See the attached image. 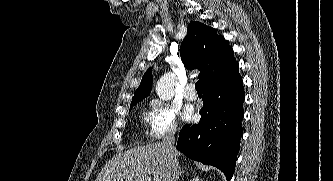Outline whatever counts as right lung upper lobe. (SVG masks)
Instances as JSON below:
<instances>
[{
    "instance_id": "right-lung-upper-lobe-1",
    "label": "right lung upper lobe",
    "mask_w": 333,
    "mask_h": 181,
    "mask_svg": "<svg viewBox=\"0 0 333 181\" xmlns=\"http://www.w3.org/2000/svg\"><path fill=\"white\" fill-rule=\"evenodd\" d=\"M180 56L188 69L200 70L198 78L202 89L238 73V63L232 48L213 28L200 22L193 21L188 25L187 35L180 46ZM151 83L152 70L149 68L142 77L131 106L150 94Z\"/></svg>"
}]
</instances>
